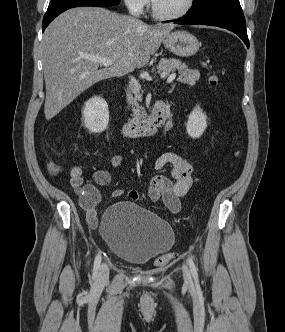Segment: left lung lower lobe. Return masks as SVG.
Returning <instances> with one entry per match:
<instances>
[{"mask_svg": "<svg viewBox=\"0 0 285 332\" xmlns=\"http://www.w3.org/2000/svg\"><path fill=\"white\" fill-rule=\"evenodd\" d=\"M171 22L184 25L203 24L222 27L237 34L249 48L246 22L241 6L222 7L202 13L187 14L180 19L171 20Z\"/></svg>", "mask_w": 285, "mask_h": 332, "instance_id": "1", "label": "left lung lower lobe"}]
</instances>
